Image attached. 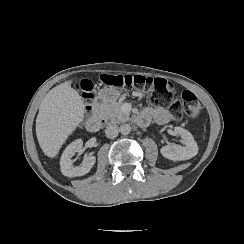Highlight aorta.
<instances>
[{
	"mask_svg": "<svg viewBox=\"0 0 244 244\" xmlns=\"http://www.w3.org/2000/svg\"><path fill=\"white\" fill-rule=\"evenodd\" d=\"M120 132L122 135H128L131 132V126L129 124H122L120 126Z\"/></svg>",
	"mask_w": 244,
	"mask_h": 244,
	"instance_id": "762f6f07",
	"label": "aorta"
}]
</instances>
